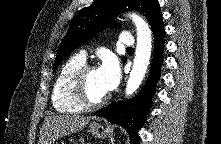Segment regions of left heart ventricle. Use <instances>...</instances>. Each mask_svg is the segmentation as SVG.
<instances>
[{
    "mask_svg": "<svg viewBox=\"0 0 221 144\" xmlns=\"http://www.w3.org/2000/svg\"><path fill=\"white\" fill-rule=\"evenodd\" d=\"M87 90L92 99H98L107 93L100 83L98 69H94L88 74Z\"/></svg>",
    "mask_w": 221,
    "mask_h": 144,
    "instance_id": "obj_1",
    "label": "left heart ventricle"
}]
</instances>
